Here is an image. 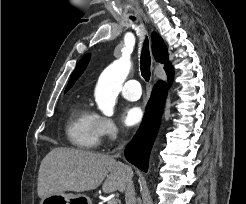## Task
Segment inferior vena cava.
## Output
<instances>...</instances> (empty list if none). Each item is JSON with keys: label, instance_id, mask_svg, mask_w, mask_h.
<instances>
[{"label": "inferior vena cava", "instance_id": "obj_1", "mask_svg": "<svg viewBox=\"0 0 246 204\" xmlns=\"http://www.w3.org/2000/svg\"><path fill=\"white\" fill-rule=\"evenodd\" d=\"M123 146L119 148L121 150ZM120 153L118 152L114 157H119ZM127 169L131 171L130 167L127 166ZM125 202L126 204H136V197H135V189L132 178H130L127 182V186L125 189Z\"/></svg>", "mask_w": 246, "mask_h": 204}]
</instances>
